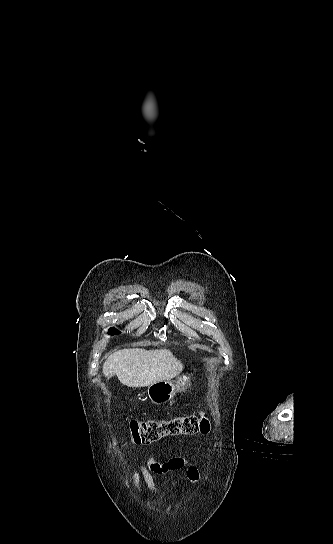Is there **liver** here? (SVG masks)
<instances>
[{
  "instance_id": "obj_1",
  "label": "liver",
  "mask_w": 333,
  "mask_h": 544,
  "mask_svg": "<svg viewBox=\"0 0 333 544\" xmlns=\"http://www.w3.org/2000/svg\"><path fill=\"white\" fill-rule=\"evenodd\" d=\"M184 366L170 350L122 349L111 354L103 364L108 379L117 375L128 387H146L178 376Z\"/></svg>"
}]
</instances>
